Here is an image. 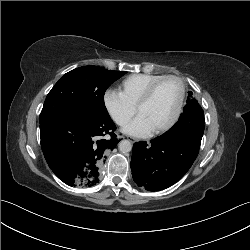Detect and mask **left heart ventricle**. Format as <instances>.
Wrapping results in <instances>:
<instances>
[{"label":"left heart ventricle","instance_id":"obj_1","mask_svg":"<svg viewBox=\"0 0 250 250\" xmlns=\"http://www.w3.org/2000/svg\"><path fill=\"white\" fill-rule=\"evenodd\" d=\"M179 95V82L169 79L162 82L152 98L140 108L138 113L144 117L151 131L170 120L176 109Z\"/></svg>","mask_w":250,"mask_h":250}]
</instances>
